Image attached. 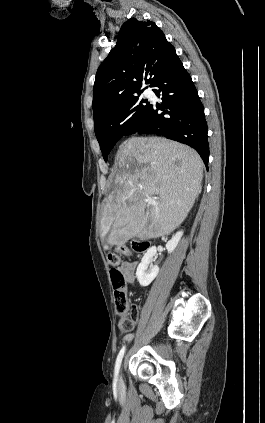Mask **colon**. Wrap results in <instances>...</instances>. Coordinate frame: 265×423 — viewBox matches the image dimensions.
I'll return each instance as SVG.
<instances>
[{
  "label": "colon",
  "mask_w": 265,
  "mask_h": 423,
  "mask_svg": "<svg viewBox=\"0 0 265 423\" xmlns=\"http://www.w3.org/2000/svg\"><path fill=\"white\" fill-rule=\"evenodd\" d=\"M150 247L147 241L134 240L130 246L120 245L114 251L108 254V263L113 266L110 271L111 283L114 287V301L117 313L120 315L118 327L122 331L132 329L138 312L136 308L129 303L128 295L125 290V278L116 266L121 262L123 257L131 255V252L144 253Z\"/></svg>",
  "instance_id": "obj_1"
}]
</instances>
